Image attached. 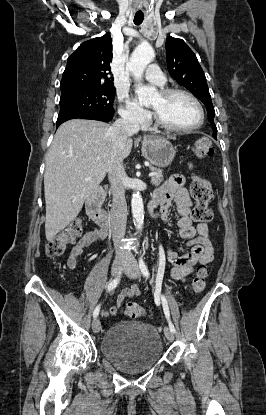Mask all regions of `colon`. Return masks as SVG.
Returning <instances> with one entry per match:
<instances>
[{"label": "colon", "mask_w": 266, "mask_h": 415, "mask_svg": "<svg viewBox=\"0 0 266 415\" xmlns=\"http://www.w3.org/2000/svg\"><path fill=\"white\" fill-rule=\"evenodd\" d=\"M196 157L202 158L213 154V144L210 138L203 137L196 141L193 147ZM191 195L195 200L192 210V218L199 223L210 222L213 213L209 208V202L213 191L208 180L201 176H194L191 183ZM83 223L80 218L73 219L59 234L52 238L45 247L47 256L57 257L62 255L67 246L73 244L81 235ZM208 270L200 266L191 282L190 290L193 294H199L205 287V279ZM123 309L127 316L135 318L144 314V309L135 302H124Z\"/></svg>", "instance_id": "colon-1"}]
</instances>
